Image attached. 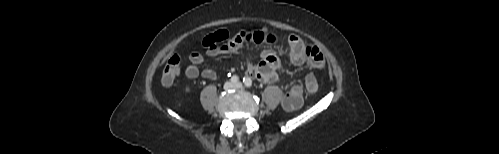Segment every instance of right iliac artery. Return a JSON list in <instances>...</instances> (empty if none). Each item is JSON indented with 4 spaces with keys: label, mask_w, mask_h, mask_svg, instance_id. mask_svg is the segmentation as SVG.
Returning a JSON list of instances; mask_svg holds the SVG:
<instances>
[{
    "label": "right iliac artery",
    "mask_w": 499,
    "mask_h": 154,
    "mask_svg": "<svg viewBox=\"0 0 499 154\" xmlns=\"http://www.w3.org/2000/svg\"><path fill=\"white\" fill-rule=\"evenodd\" d=\"M231 81H232L233 83H237V82L239 81L238 76L233 75V76L231 77Z\"/></svg>",
    "instance_id": "1"
}]
</instances>
